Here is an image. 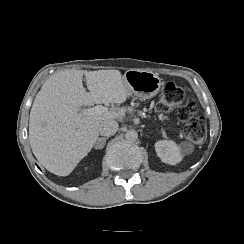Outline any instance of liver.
Returning <instances> with one entry per match:
<instances>
[{
    "label": "liver",
    "mask_w": 244,
    "mask_h": 244,
    "mask_svg": "<svg viewBox=\"0 0 244 244\" xmlns=\"http://www.w3.org/2000/svg\"><path fill=\"white\" fill-rule=\"evenodd\" d=\"M83 76L91 94L83 87ZM129 96L120 70H62L47 79L36 94L29 116V141L37 160L51 173L69 175L92 150L99 125L127 114L116 110L88 114L81 106L122 104Z\"/></svg>",
    "instance_id": "obj_1"
}]
</instances>
